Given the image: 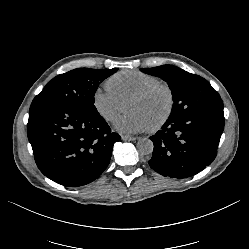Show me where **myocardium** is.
I'll list each match as a JSON object with an SVG mask.
<instances>
[{
	"mask_svg": "<svg viewBox=\"0 0 249 249\" xmlns=\"http://www.w3.org/2000/svg\"><path fill=\"white\" fill-rule=\"evenodd\" d=\"M156 91H162L167 98V109L161 119L153 126L149 127V132H157L162 129L170 120L175 109V96L171 87L163 82L152 83L142 90L132 95L129 101L140 100L151 96Z\"/></svg>",
	"mask_w": 249,
	"mask_h": 249,
	"instance_id": "f54148a6",
	"label": "myocardium"
}]
</instances>
